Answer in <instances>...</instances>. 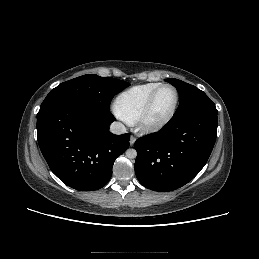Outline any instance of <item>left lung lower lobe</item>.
Masks as SVG:
<instances>
[{
	"label": "left lung lower lobe",
	"instance_id": "0a47b994",
	"mask_svg": "<svg viewBox=\"0 0 259 259\" xmlns=\"http://www.w3.org/2000/svg\"><path fill=\"white\" fill-rule=\"evenodd\" d=\"M218 111L175 114L158 132L135 142V173L154 191H172L191 181L206 164L217 135Z\"/></svg>",
	"mask_w": 259,
	"mask_h": 259
}]
</instances>
